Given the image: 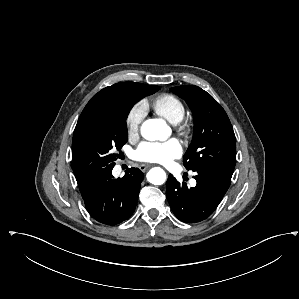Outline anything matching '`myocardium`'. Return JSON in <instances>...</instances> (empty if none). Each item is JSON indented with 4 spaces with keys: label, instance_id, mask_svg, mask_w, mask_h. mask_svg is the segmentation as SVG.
<instances>
[{
    "label": "myocardium",
    "instance_id": "f54148a6",
    "mask_svg": "<svg viewBox=\"0 0 299 299\" xmlns=\"http://www.w3.org/2000/svg\"><path fill=\"white\" fill-rule=\"evenodd\" d=\"M178 133L185 138H188L192 133V124L187 119L183 118L176 124Z\"/></svg>",
    "mask_w": 299,
    "mask_h": 299
}]
</instances>
